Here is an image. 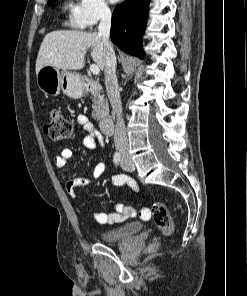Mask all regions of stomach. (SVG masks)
Here are the masks:
<instances>
[{"label": "stomach", "mask_w": 247, "mask_h": 296, "mask_svg": "<svg viewBox=\"0 0 247 296\" xmlns=\"http://www.w3.org/2000/svg\"><path fill=\"white\" fill-rule=\"evenodd\" d=\"M36 82L39 89L50 96H56L63 91L67 96L78 99L84 93L78 75L50 65L42 67L36 73Z\"/></svg>", "instance_id": "1"}]
</instances>
